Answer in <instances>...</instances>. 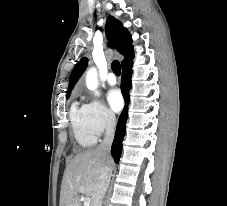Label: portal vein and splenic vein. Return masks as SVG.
Wrapping results in <instances>:
<instances>
[{"mask_svg": "<svg viewBox=\"0 0 227 206\" xmlns=\"http://www.w3.org/2000/svg\"><path fill=\"white\" fill-rule=\"evenodd\" d=\"M80 191L81 192H84L85 191V188L84 187H80ZM90 202H91V199L90 198H86L84 200V206H90Z\"/></svg>", "mask_w": 227, "mask_h": 206, "instance_id": "1", "label": "portal vein and splenic vein"}]
</instances>
